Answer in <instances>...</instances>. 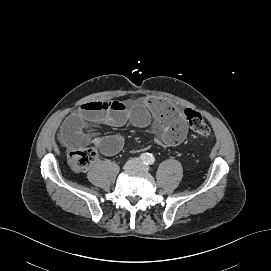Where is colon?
Masks as SVG:
<instances>
[{
    "label": "colon",
    "instance_id": "1",
    "mask_svg": "<svg viewBox=\"0 0 271 271\" xmlns=\"http://www.w3.org/2000/svg\"><path fill=\"white\" fill-rule=\"evenodd\" d=\"M184 117L190 129L199 137L209 139L212 137V132L208 124L205 122L203 116L192 109L184 110ZM96 152L90 148L74 149L67 157L70 168L76 172L81 173L88 169L90 164L95 160Z\"/></svg>",
    "mask_w": 271,
    "mask_h": 271
}]
</instances>
